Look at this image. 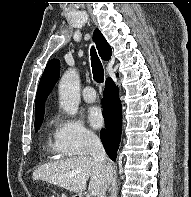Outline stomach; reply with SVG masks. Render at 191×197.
Wrapping results in <instances>:
<instances>
[{
    "label": "stomach",
    "instance_id": "0dacf381",
    "mask_svg": "<svg viewBox=\"0 0 191 197\" xmlns=\"http://www.w3.org/2000/svg\"><path fill=\"white\" fill-rule=\"evenodd\" d=\"M77 196H79V195H75V196H73V197H77Z\"/></svg>",
    "mask_w": 191,
    "mask_h": 197
}]
</instances>
